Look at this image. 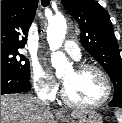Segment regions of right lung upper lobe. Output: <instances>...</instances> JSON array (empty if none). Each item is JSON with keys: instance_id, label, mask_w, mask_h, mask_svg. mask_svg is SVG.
Masks as SVG:
<instances>
[{"instance_id": "right-lung-upper-lobe-1", "label": "right lung upper lobe", "mask_w": 122, "mask_h": 123, "mask_svg": "<svg viewBox=\"0 0 122 123\" xmlns=\"http://www.w3.org/2000/svg\"><path fill=\"white\" fill-rule=\"evenodd\" d=\"M38 0L1 1V50H19L26 43Z\"/></svg>"}]
</instances>
